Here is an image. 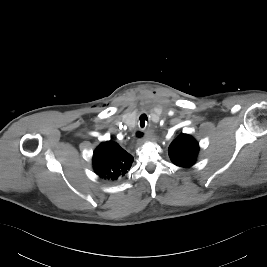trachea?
<instances>
[{"instance_id":"3493384b","label":"trachea","mask_w":267,"mask_h":267,"mask_svg":"<svg viewBox=\"0 0 267 267\" xmlns=\"http://www.w3.org/2000/svg\"><path fill=\"white\" fill-rule=\"evenodd\" d=\"M147 121H148L147 115L146 114H141L140 117H139V125H140V127L144 128ZM136 136L140 138V137L143 136V133L142 132H136Z\"/></svg>"}]
</instances>
